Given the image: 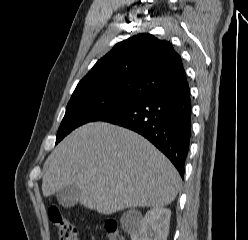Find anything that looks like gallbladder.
<instances>
[{
  "label": "gallbladder",
  "mask_w": 248,
  "mask_h": 240,
  "mask_svg": "<svg viewBox=\"0 0 248 240\" xmlns=\"http://www.w3.org/2000/svg\"><path fill=\"white\" fill-rule=\"evenodd\" d=\"M80 190L76 185H67L56 192V198L64 208H71L77 204Z\"/></svg>",
  "instance_id": "bac80fb5"
}]
</instances>
